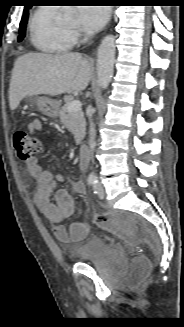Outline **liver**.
<instances>
[{
  "label": "liver",
  "instance_id": "1",
  "mask_svg": "<svg viewBox=\"0 0 184 327\" xmlns=\"http://www.w3.org/2000/svg\"><path fill=\"white\" fill-rule=\"evenodd\" d=\"M91 63L80 53H27L14 63L9 105L15 110L27 96L78 93L85 90L91 78Z\"/></svg>",
  "mask_w": 184,
  "mask_h": 327
}]
</instances>
